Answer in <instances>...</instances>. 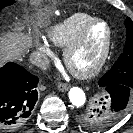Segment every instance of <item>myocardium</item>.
Listing matches in <instances>:
<instances>
[{"instance_id": "myocardium-1", "label": "myocardium", "mask_w": 133, "mask_h": 133, "mask_svg": "<svg viewBox=\"0 0 133 133\" xmlns=\"http://www.w3.org/2000/svg\"><path fill=\"white\" fill-rule=\"evenodd\" d=\"M98 23L103 24L107 30L105 45L100 57L90 68L86 70L74 69L71 65V57L73 53L82 45L87 33L92 28V26ZM112 37H113V33H112V28L110 24L104 19L93 18L88 23H86L84 27L76 35V37L65 46L63 51V60L66 67L72 72V74L75 77L79 79H88V78L94 77L103 69V67L105 66L109 58L111 46H112Z\"/></svg>"}]
</instances>
